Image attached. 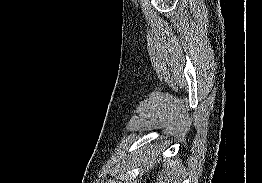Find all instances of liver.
<instances>
[{
  "mask_svg": "<svg viewBox=\"0 0 262 183\" xmlns=\"http://www.w3.org/2000/svg\"><path fill=\"white\" fill-rule=\"evenodd\" d=\"M180 169H179V166L177 167L176 164H174L172 167H171V171H167L166 172V176L164 177V181H162L159 178H157V182L156 183H180L179 182V179H180Z\"/></svg>",
  "mask_w": 262,
  "mask_h": 183,
  "instance_id": "liver-1",
  "label": "liver"
}]
</instances>
